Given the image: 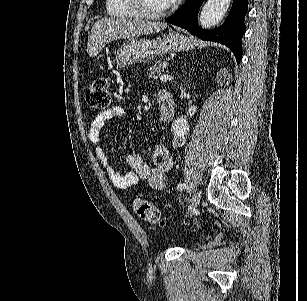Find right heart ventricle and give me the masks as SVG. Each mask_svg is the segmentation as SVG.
I'll return each mask as SVG.
<instances>
[{"label": "right heart ventricle", "instance_id": "obj_1", "mask_svg": "<svg viewBox=\"0 0 307 301\" xmlns=\"http://www.w3.org/2000/svg\"><path fill=\"white\" fill-rule=\"evenodd\" d=\"M132 0H106L104 17H138V10L129 9Z\"/></svg>", "mask_w": 307, "mask_h": 301}]
</instances>
